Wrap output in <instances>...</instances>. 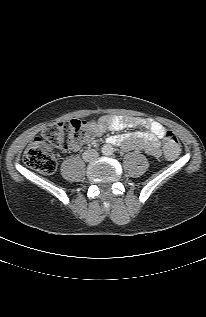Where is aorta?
I'll return each mask as SVG.
<instances>
[{"label":"aorta","mask_w":206,"mask_h":317,"mask_svg":"<svg viewBox=\"0 0 206 317\" xmlns=\"http://www.w3.org/2000/svg\"><path fill=\"white\" fill-rule=\"evenodd\" d=\"M102 153L105 155H111L113 153V147L111 145H104L102 147Z\"/></svg>","instance_id":"1"}]
</instances>
